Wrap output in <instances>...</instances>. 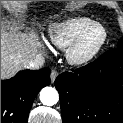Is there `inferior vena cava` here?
Segmentation results:
<instances>
[{"label": "inferior vena cava", "instance_id": "602c4592", "mask_svg": "<svg viewBox=\"0 0 123 123\" xmlns=\"http://www.w3.org/2000/svg\"><path fill=\"white\" fill-rule=\"evenodd\" d=\"M44 62H45L44 57L40 54H37L35 57L30 59L29 61L24 62L23 66L26 69L38 70L42 68V66L44 65Z\"/></svg>", "mask_w": 123, "mask_h": 123}]
</instances>
